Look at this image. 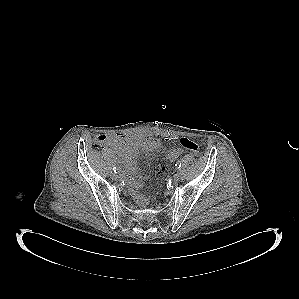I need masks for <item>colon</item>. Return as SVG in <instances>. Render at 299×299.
Returning <instances> with one entry per match:
<instances>
[{
    "label": "colon",
    "mask_w": 299,
    "mask_h": 299,
    "mask_svg": "<svg viewBox=\"0 0 299 299\" xmlns=\"http://www.w3.org/2000/svg\"><path fill=\"white\" fill-rule=\"evenodd\" d=\"M107 138H108V136H103V137L99 136L97 138V146L98 147H103L104 142L107 140ZM180 145L184 149L192 152L194 155H197V156L200 155L199 145L195 141L191 140L190 138H187V137L181 138Z\"/></svg>",
    "instance_id": "obj_1"
}]
</instances>
